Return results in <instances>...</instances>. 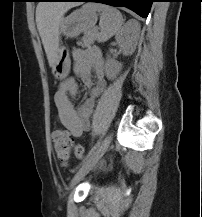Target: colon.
<instances>
[{
  "label": "colon",
  "instance_id": "colon-1",
  "mask_svg": "<svg viewBox=\"0 0 202 217\" xmlns=\"http://www.w3.org/2000/svg\"><path fill=\"white\" fill-rule=\"evenodd\" d=\"M53 149L57 159L65 164L70 157L71 151L78 159L84 156V149L80 144H74L68 132L61 128H56L52 132Z\"/></svg>",
  "mask_w": 202,
  "mask_h": 217
}]
</instances>
